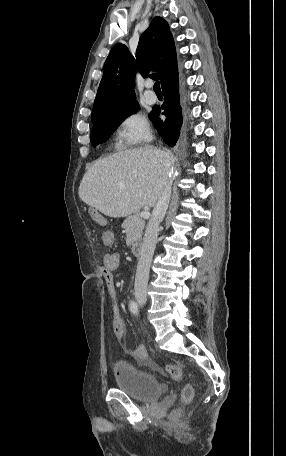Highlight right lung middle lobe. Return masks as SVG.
<instances>
[{
  "instance_id": "obj_1",
  "label": "right lung middle lobe",
  "mask_w": 286,
  "mask_h": 456,
  "mask_svg": "<svg viewBox=\"0 0 286 456\" xmlns=\"http://www.w3.org/2000/svg\"><path fill=\"white\" fill-rule=\"evenodd\" d=\"M138 103L112 109L95 120H93V130L91 133V143L95 147L99 143L107 141L114 130L124 121L125 118L138 110Z\"/></svg>"
}]
</instances>
